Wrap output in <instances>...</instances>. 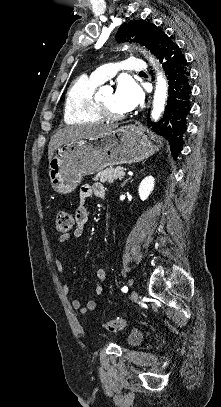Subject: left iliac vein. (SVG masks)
<instances>
[{
	"instance_id": "left-iliac-vein-1",
	"label": "left iliac vein",
	"mask_w": 221,
	"mask_h": 407,
	"mask_svg": "<svg viewBox=\"0 0 221 407\" xmlns=\"http://www.w3.org/2000/svg\"><path fill=\"white\" fill-rule=\"evenodd\" d=\"M131 298L133 301L138 299V293L135 290L132 291Z\"/></svg>"
}]
</instances>
